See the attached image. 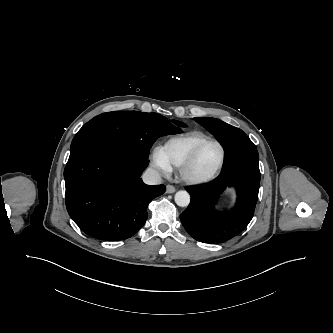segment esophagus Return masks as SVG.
Masks as SVG:
<instances>
[{
    "label": "esophagus",
    "instance_id": "34e87169",
    "mask_svg": "<svg viewBox=\"0 0 333 333\" xmlns=\"http://www.w3.org/2000/svg\"><path fill=\"white\" fill-rule=\"evenodd\" d=\"M176 191V188L172 185H167L166 187V193L171 194L174 193Z\"/></svg>",
    "mask_w": 333,
    "mask_h": 333
}]
</instances>
